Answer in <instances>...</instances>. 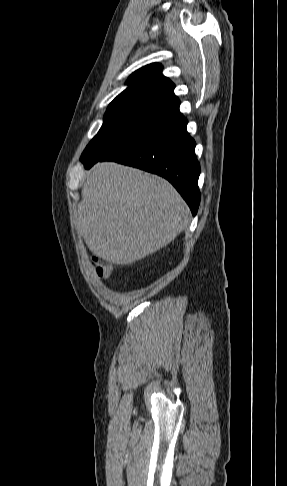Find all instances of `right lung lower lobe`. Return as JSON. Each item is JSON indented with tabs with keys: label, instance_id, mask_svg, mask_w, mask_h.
Instances as JSON below:
<instances>
[{
	"label": "right lung lower lobe",
	"instance_id": "right-lung-lower-lobe-1",
	"mask_svg": "<svg viewBox=\"0 0 287 486\" xmlns=\"http://www.w3.org/2000/svg\"><path fill=\"white\" fill-rule=\"evenodd\" d=\"M186 125L187 119L176 111L140 137L98 161L111 160L166 178L182 195L192 214L196 215L200 203V165L195 155V141L188 134Z\"/></svg>",
	"mask_w": 287,
	"mask_h": 486
}]
</instances>
